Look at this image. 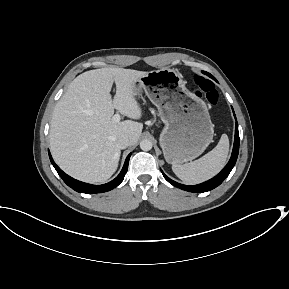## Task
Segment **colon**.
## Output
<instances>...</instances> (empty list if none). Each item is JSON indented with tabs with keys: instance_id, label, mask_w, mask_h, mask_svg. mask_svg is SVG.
<instances>
[{
	"instance_id": "obj_1",
	"label": "colon",
	"mask_w": 289,
	"mask_h": 289,
	"mask_svg": "<svg viewBox=\"0 0 289 289\" xmlns=\"http://www.w3.org/2000/svg\"><path fill=\"white\" fill-rule=\"evenodd\" d=\"M192 90L211 106H214L218 101V93L213 82L203 75H194Z\"/></svg>"
}]
</instances>
